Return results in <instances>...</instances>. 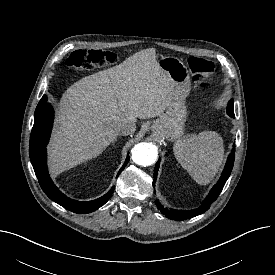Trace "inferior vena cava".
Listing matches in <instances>:
<instances>
[{
	"label": "inferior vena cava",
	"instance_id": "1",
	"mask_svg": "<svg viewBox=\"0 0 275 275\" xmlns=\"http://www.w3.org/2000/svg\"><path fill=\"white\" fill-rule=\"evenodd\" d=\"M136 125L131 121H121L116 125V131L119 135H130L135 132Z\"/></svg>",
	"mask_w": 275,
	"mask_h": 275
}]
</instances>
